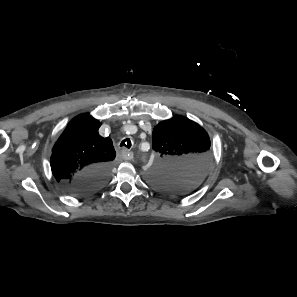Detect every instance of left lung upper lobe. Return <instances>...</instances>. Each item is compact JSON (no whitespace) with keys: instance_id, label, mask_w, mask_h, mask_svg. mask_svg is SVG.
Listing matches in <instances>:
<instances>
[{"instance_id":"1","label":"left lung upper lobe","mask_w":297,"mask_h":297,"mask_svg":"<svg viewBox=\"0 0 297 297\" xmlns=\"http://www.w3.org/2000/svg\"><path fill=\"white\" fill-rule=\"evenodd\" d=\"M156 165L149 183L169 195L186 194L204 180L211 162L206 131L183 116L165 120L153 130Z\"/></svg>"}]
</instances>
